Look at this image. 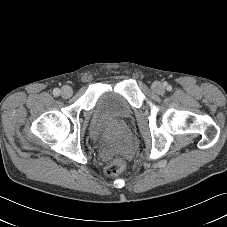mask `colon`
Returning a JSON list of instances; mask_svg holds the SVG:
<instances>
[{
  "instance_id": "colon-1",
  "label": "colon",
  "mask_w": 227,
  "mask_h": 227,
  "mask_svg": "<svg viewBox=\"0 0 227 227\" xmlns=\"http://www.w3.org/2000/svg\"><path fill=\"white\" fill-rule=\"evenodd\" d=\"M125 169V162L120 157H114L105 167V174L114 177L122 173Z\"/></svg>"
}]
</instances>
